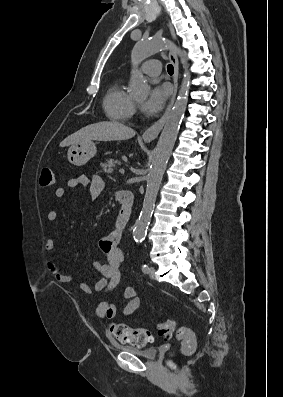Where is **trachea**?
Segmentation results:
<instances>
[{"label":"trachea","mask_w":283,"mask_h":397,"mask_svg":"<svg viewBox=\"0 0 283 397\" xmlns=\"http://www.w3.org/2000/svg\"><path fill=\"white\" fill-rule=\"evenodd\" d=\"M167 71L170 75H173L174 73V67L172 65H168L167 66Z\"/></svg>","instance_id":"3493384b"}]
</instances>
